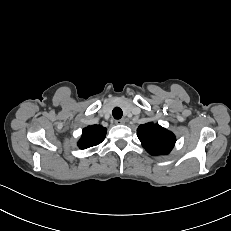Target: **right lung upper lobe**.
Listing matches in <instances>:
<instances>
[{
  "mask_svg": "<svg viewBox=\"0 0 231 231\" xmlns=\"http://www.w3.org/2000/svg\"><path fill=\"white\" fill-rule=\"evenodd\" d=\"M106 132L107 129L102 125H92L84 128L78 147L86 149L100 144L105 139Z\"/></svg>",
  "mask_w": 231,
  "mask_h": 231,
  "instance_id": "right-lung-upper-lobe-1",
  "label": "right lung upper lobe"
}]
</instances>
